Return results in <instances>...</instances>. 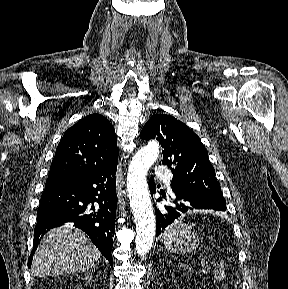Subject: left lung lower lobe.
I'll return each mask as SVG.
<instances>
[{"label":"left lung lower lobe","mask_w":288,"mask_h":289,"mask_svg":"<svg viewBox=\"0 0 288 289\" xmlns=\"http://www.w3.org/2000/svg\"><path fill=\"white\" fill-rule=\"evenodd\" d=\"M149 190L155 192L154 177L149 180ZM176 200L174 205L164 206L162 210L155 207L157 236L162 233L166 227L174 222L183 213L194 209H212L216 211H226V205L210 198L195 193L174 191ZM161 200V198L159 199Z\"/></svg>","instance_id":"obj_1"}]
</instances>
